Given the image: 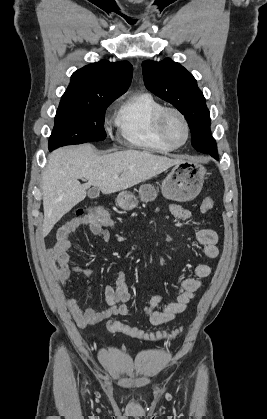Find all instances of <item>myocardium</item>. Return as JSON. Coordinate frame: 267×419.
<instances>
[{"label": "myocardium", "instance_id": "obj_1", "mask_svg": "<svg viewBox=\"0 0 267 419\" xmlns=\"http://www.w3.org/2000/svg\"><path fill=\"white\" fill-rule=\"evenodd\" d=\"M171 114L177 115L181 119V121H182V123H183V125L185 127L186 136H185L184 141L181 144H175V143H173L170 140V138L168 137V135H167V132H166V122H167V119H168L169 115H171ZM156 128H157V132H158V135L161 138V140L166 145H168L169 147H171L173 149H177V148L183 146L188 141V139L190 137V125H189V122H188L185 114L181 110H179L178 108H176V107H164L159 112V114L157 116V119H156Z\"/></svg>", "mask_w": 267, "mask_h": 419}]
</instances>
